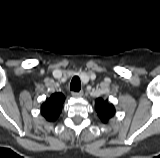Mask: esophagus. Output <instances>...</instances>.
Listing matches in <instances>:
<instances>
[{
    "label": "esophagus",
    "mask_w": 160,
    "mask_h": 158,
    "mask_svg": "<svg viewBox=\"0 0 160 158\" xmlns=\"http://www.w3.org/2000/svg\"><path fill=\"white\" fill-rule=\"evenodd\" d=\"M82 95H83V91H78V92L73 91V92H72V96H74V97H80V96H82Z\"/></svg>",
    "instance_id": "1"
}]
</instances>
